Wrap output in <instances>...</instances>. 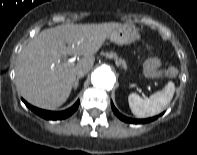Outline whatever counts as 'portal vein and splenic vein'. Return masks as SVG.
<instances>
[{"mask_svg": "<svg viewBox=\"0 0 197 155\" xmlns=\"http://www.w3.org/2000/svg\"><path fill=\"white\" fill-rule=\"evenodd\" d=\"M65 65H68V66L73 65V60H72V59L68 60V61L65 63Z\"/></svg>", "mask_w": 197, "mask_h": 155, "instance_id": "obj_1", "label": "portal vein and splenic vein"}]
</instances>
